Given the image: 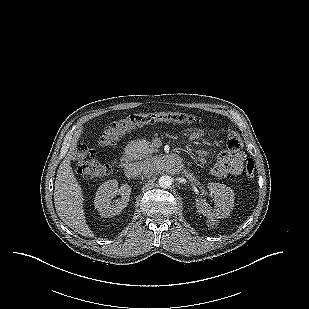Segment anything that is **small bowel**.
Masks as SVG:
<instances>
[{
  "mask_svg": "<svg viewBox=\"0 0 309 309\" xmlns=\"http://www.w3.org/2000/svg\"><path fill=\"white\" fill-rule=\"evenodd\" d=\"M201 130H194L191 132V139L198 140L202 137ZM233 131L228 133L229 139L236 137ZM247 158L246 153L241 149V146L234 148L228 144V148L222 151L215 165L212 168V174L216 177L237 176L243 170L244 162Z\"/></svg>",
  "mask_w": 309,
  "mask_h": 309,
  "instance_id": "c3829d8e",
  "label": "small bowel"
}]
</instances>
